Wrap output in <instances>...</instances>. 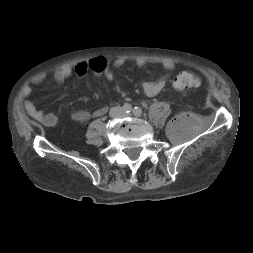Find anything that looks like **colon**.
<instances>
[{
	"instance_id": "colon-1",
	"label": "colon",
	"mask_w": 253,
	"mask_h": 253,
	"mask_svg": "<svg viewBox=\"0 0 253 253\" xmlns=\"http://www.w3.org/2000/svg\"><path fill=\"white\" fill-rule=\"evenodd\" d=\"M90 70L99 76H104L108 80H113L114 75L108 71V62L104 57H96L89 61ZM201 85L199 78L192 73L182 72L173 80V86L179 90L195 89Z\"/></svg>"
}]
</instances>
